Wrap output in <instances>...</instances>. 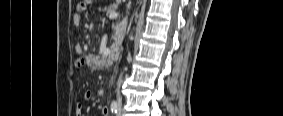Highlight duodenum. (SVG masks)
Segmentation results:
<instances>
[{"mask_svg": "<svg viewBox=\"0 0 283 116\" xmlns=\"http://www.w3.org/2000/svg\"><path fill=\"white\" fill-rule=\"evenodd\" d=\"M120 58V51L118 48L112 49L110 52V60L113 62H117Z\"/></svg>", "mask_w": 283, "mask_h": 116, "instance_id": "1", "label": "duodenum"}]
</instances>
